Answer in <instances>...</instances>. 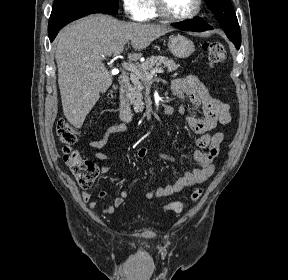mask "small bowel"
<instances>
[{
  "label": "small bowel",
  "mask_w": 288,
  "mask_h": 280,
  "mask_svg": "<svg viewBox=\"0 0 288 280\" xmlns=\"http://www.w3.org/2000/svg\"><path fill=\"white\" fill-rule=\"evenodd\" d=\"M173 94L181 101L177 108V112H184L183 101L188 98L194 105V110L186 117V125L194 134L198 135L196 139V149L193 153L194 161L197 167L191 171L185 172L175 183L170 185L158 186L145 192L144 196L147 199L168 197L178 193L193 185L205 182L214 172L215 160L220 153V146L223 140L222 132L210 134L218 124L227 125L231 122V112L228 103L223 102L212 96L207 87L195 75H186L177 78L171 83ZM127 127L121 123H114L106 130L103 136L98 140H93L89 146L93 149H102L109 137L116 133L125 131ZM207 149V151H205ZM148 150L145 147H140L137 150V157L140 159L146 158ZM94 156L103 162H109L110 159L102 152L96 151ZM159 161H173V157L168 154L161 153L158 157ZM103 175H115L120 178H125L122 174L111 172V166L104 164L101 167ZM108 195L107 192L100 193V197L104 198ZM129 196L127 190L120 191L119 195L114 198L112 204L100 206L96 201L91 200V195L88 192H83L82 198L89 207L93 210H100L104 214H111L117 208L123 205L125 199Z\"/></svg>",
  "instance_id": "small-bowel-1"
}]
</instances>
